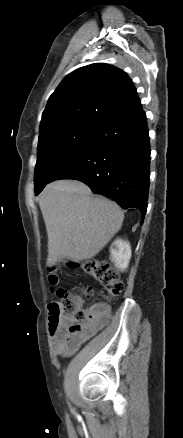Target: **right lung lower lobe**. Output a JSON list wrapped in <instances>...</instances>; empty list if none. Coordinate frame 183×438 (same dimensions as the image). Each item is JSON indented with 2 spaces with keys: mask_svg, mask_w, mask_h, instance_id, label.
Returning a JSON list of instances; mask_svg holds the SVG:
<instances>
[{
  "mask_svg": "<svg viewBox=\"0 0 183 438\" xmlns=\"http://www.w3.org/2000/svg\"><path fill=\"white\" fill-rule=\"evenodd\" d=\"M149 165L146 115L139 103L100 123L85 147L51 181H82L93 193L113 199L123 209L137 208L144 218Z\"/></svg>",
  "mask_w": 183,
  "mask_h": 438,
  "instance_id": "98d812e1",
  "label": "right lung lower lobe"
}]
</instances>
